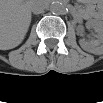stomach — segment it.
Listing matches in <instances>:
<instances>
[{
  "label": "stomach",
  "instance_id": "0dacf381",
  "mask_svg": "<svg viewBox=\"0 0 103 103\" xmlns=\"http://www.w3.org/2000/svg\"><path fill=\"white\" fill-rule=\"evenodd\" d=\"M84 3H86L88 7H90L92 5V3L89 1H84Z\"/></svg>",
  "mask_w": 103,
  "mask_h": 103
}]
</instances>
